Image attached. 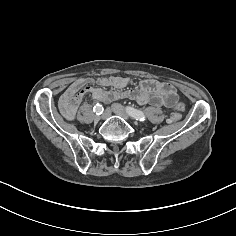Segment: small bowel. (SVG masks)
<instances>
[{
  "label": "small bowel",
  "instance_id": "small-bowel-1",
  "mask_svg": "<svg viewBox=\"0 0 236 236\" xmlns=\"http://www.w3.org/2000/svg\"><path fill=\"white\" fill-rule=\"evenodd\" d=\"M89 79H77L73 81L60 97V108L67 119H72L79 104L86 94L92 95L95 100L109 103L121 97L133 99L140 105L150 104L154 107L165 106L183 110V104L179 103L175 88L169 83L155 79L142 80L138 87L126 89L130 80L122 76L100 77L94 82L98 86H92ZM104 87H110L107 91Z\"/></svg>",
  "mask_w": 236,
  "mask_h": 236
}]
</instances>
